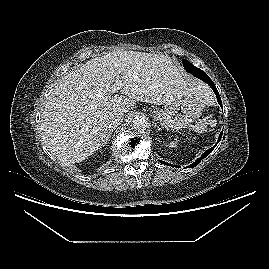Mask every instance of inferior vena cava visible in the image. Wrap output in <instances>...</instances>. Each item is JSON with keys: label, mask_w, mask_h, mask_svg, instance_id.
Instances as JSON below:
<instances>
[{"label": "inferior vena cava", "mask_w": 269, "mask_h": 269, "mask_svg": "<svg viewBox=\"0 0 269 269\" xmlns=\"http://www.w3.org/2000/svg\"><path fill=\"white\" fill-rule=\"evenodd\" d=\"M123 116H124L123 112H120V111L111 112L106 117V122H107L108 127L114 128L120 125L123 121Z\"/></svg>", "instance_id": "602c4592"}]
</instances>
